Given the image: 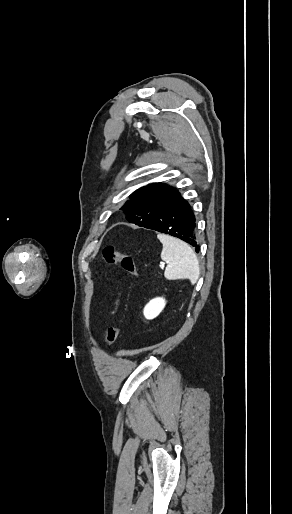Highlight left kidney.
Here are the masks:
<instances>
[{
  "mask_svg": "<svg viewBox=\"0 0 292 514\" xmlns=\"http://www.w3.org/2000/svg\"><path fill=\"white\" fill-rule=\"evenodd\" d=\"M165 300L163 298H154V300H150L149 304L144 308V316L147 320H153L156 318L160 312H162L163 308H165Z\"/></svg>",
  "mask_w": 292,
  "mask_h": 514,
  "instance_id": "obj_1",
  "label": "left kidney"
}]
</instances>
